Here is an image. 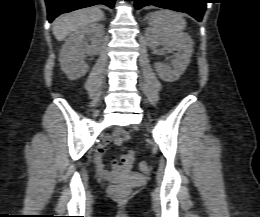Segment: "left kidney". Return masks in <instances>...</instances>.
I'll use <instances>...</instances> for the list:
<instances>
[{
    "label": "left kidney",
    "mask_w": 260,
    "mask_h": 217,
    "mask_svg": "<svg viewBox=\"0 0 260 217\" xmlns=\"http://www.w3.org/2000/svg\"><path fill=\"white\" fill-rule=\"evenodd\" d=\"M147 40L149 47L152 49H155L159 44H163L174 52L171 65L158 62L154 67L162 80L167 82L178 80L190 63L192 47L189 38L185 35L151 31L147 34Z\"/></svg>",
    "instance_id": "5707ae66"
}]
</instances>
